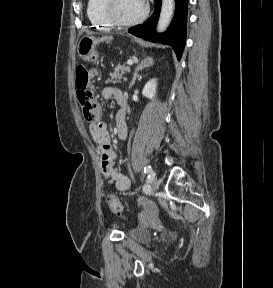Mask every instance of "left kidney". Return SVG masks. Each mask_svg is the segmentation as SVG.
<instances>
[{
    "label": "left kidney",
    "mask_w": 273,
    "mask_h": 288,
    "mask_svg": "<svg viewBox=\"0 0 273 288\" xmlns=\"http://www.w3.org/2000/svg\"><path fill=\"white\" fill-rule=\"evenodd\" d=\"M157 88V79H151L143 88L142 94L143 96L152 99L155 96Z\"/></svg>",
    "instance_id": "left-kidney-1"
}]
</instances>
